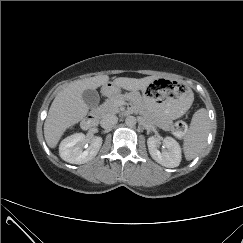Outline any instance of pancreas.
<instances>
[{
  "label": "pancreas",
  "mask_w": 243,
  "mask_h": 243,
  "mask_svg": "<svg viewBox=\"0 0 243 243\" xmlns=\"http://www.w3.org/2000/svg\"><path fill=\"white\" fill-rule=\"evenodd\" d=\"M122 99H123V97L120 95L108 99L105 103H103L100 107L97 108V112L100 115H105L108 113H119L120 112V109H119L120 101ZM140 111H141L142 115L144 116V118H146L149 122L157 125L158 127L162 128L164 130H170V128L172 126L171 121L159 119L156 116H154L152 113L144 110L143 108H141Z\"/></svg>",
  "instance_id": "1"
}]
</instances>
